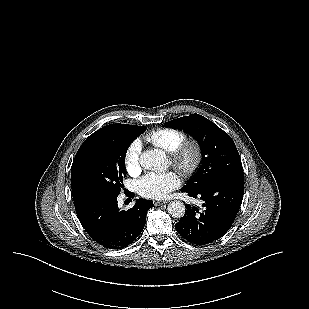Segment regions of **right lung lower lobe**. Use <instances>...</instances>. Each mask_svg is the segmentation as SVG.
Returning <instances> with one entry per match:
<instances>
[{
  "label": "right lung lower lobe",
  "instance_id": "98d812e1",
  "mask_svg": "<svg viewBox=\"0 0 309 309\" xmlns=\"http://www.w3.org/2000/svg\"><path fill=\"white\" fill-rule=\"evenodd\" d=\"M117 196H94L74 204L83 228L99 245L121 249L130 245L143 231L151 200L138 199L133 208L120 211Z\"/></svg>",
  "mask_w": 309,
  "mask_h": 309
}]
</instances>
